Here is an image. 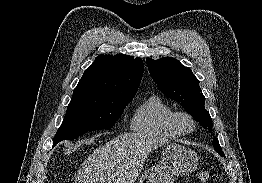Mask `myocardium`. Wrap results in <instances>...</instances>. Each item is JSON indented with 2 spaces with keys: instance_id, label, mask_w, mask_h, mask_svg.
Listing matches in <instances>:
<instances>
[{
  "instance_id": "myocardium-1",
  "label": "myocardium",
  "mask_w": 262,
  "mask_h": 183,
  "mask_svg": "<svg viewBox=\"0 0 262 183\" xmlns=\"http://www.w3.org/2000/svg\"><path fill=\"white\" fill-rule=\"evenodd\" d=\"M185 122L190 123V128L185 127ZM174 126L183 134H190L196 129V120L195 118L186 111H177L173 116Z\"/></svg>"
}]
</instances>
